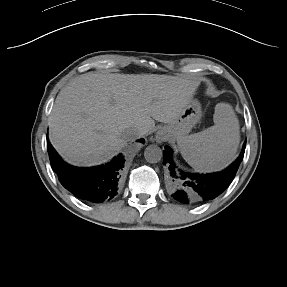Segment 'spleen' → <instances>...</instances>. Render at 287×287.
Returning a JSON list of instances; mask_svg holds the SVG:
<instances>
[{
  "instance_id": "1",
  "label": "spleen",
  "mask_w": 287,
  "mask_h": 287,
  "mask_svg": "<svg viewBox=\"0 0 287 287\" xmlns=\"http://www.w3.org/2000/svg\"><path fill=\"white\" fill-rule=\"evenodd\" d=\"M214 125L177 141L184 160L203 172L220 171L236 158L240 127L232 107L219 103L213 115Z\"/></svg>"
}]
</instances>
